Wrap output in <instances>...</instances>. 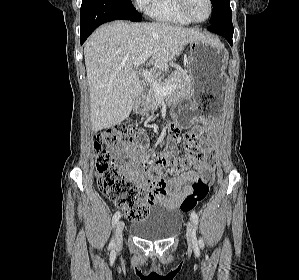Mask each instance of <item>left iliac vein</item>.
<instances>
[{"mask_svg": "<svg viewBox=\"0 0 299 280\" xmlns=\"http://www.w3.org/2000/svg\"><path fill=\"white\" fill-rule=\"evenodd\" d=\"M187 241H188V245L189 247H192L196 242V234H195V231L193 229V224L191 221H189L187 223Z\"/></svg>", "mask_w": 299, "mask_h": 280, "instance_id": "4c4485c4", "label": "left iliac vein"}]
</instances>
